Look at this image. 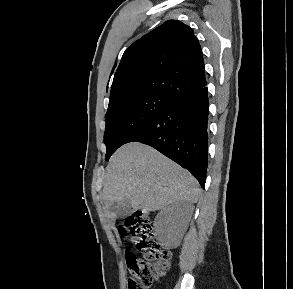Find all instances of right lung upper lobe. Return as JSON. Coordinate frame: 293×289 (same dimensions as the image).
I'll return each instance as SVG.
<instances>
[{"instance_id": "cb5924a9", "label": "right lung upper lobe", "mask_w": 293, "mask_h": 289, "mask_svg": "<svg viewBox=\"0 0 293 289\" xmlns=\"http://www.w3.org/2000/svg\"><path fill=\"white\" fill-rule=\"evenodd\" d=\"M206 84L203 54L193 30L169 20L126 49L114 75L109 106L147 94L173 102Z\"/></svg>"}]
</instances>
